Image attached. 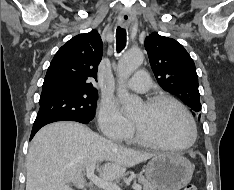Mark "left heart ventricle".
<instances>
[{
  "label": "left heart ventricle",
  "mask_w": 234,
  "mask_h": 190,
  "mask_svg": "<svg viewBox=\"0 0 234 190\" xmlns=\"http://www.w3.org/2000/svg\"><path fill=\"white\" fill-rule=\"evenodd\" d=\"M133 120L141 125L148 136L161 143L184 144L191 137L187 118L171 102H160L153 107L142 104Z\"/></svg>",
  "instance_id": "1"
}]
</instances>
